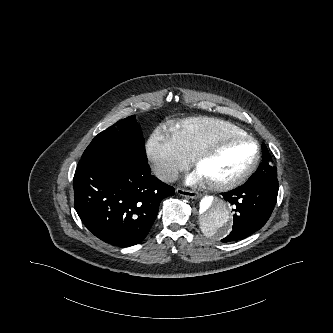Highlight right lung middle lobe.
I'll return each instance as SVG.
<instances>
[{"mask_svg":"<svg viewBox=\"0 0 333 333\" xmlns=\"http://www.w3.org/2000/svg\"><path fill=\"white\" fill-rule=\"evenodd\" d=\"M101 159L147 164L145 142L135 116L122 119L99 133L86 148L80 161Z\"/></svg>","mask_w":333,"mask_h":333,"instance_id":"obj_1","label":"right lung middle lobe"}]
</instances>
